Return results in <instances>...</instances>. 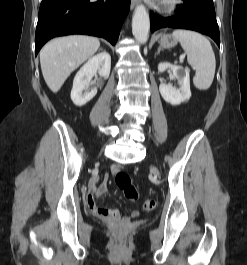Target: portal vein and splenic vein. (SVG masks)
<instances>
[{"label": "portal vein and splenic vein", "instance_id": "portal-vein-and-splenic-vein-1", "mask_svg": "<svg viewBox=\"0 0 247 265\" xmlns=\"http://www.w3.org/2000/svg\"><path fill=\"white\" fill-rule=\"evenodd\" d=\"M184 58H185V55H184V54H182V55L180 56V61H183V60H184Z\"/></svg>", "mask_w": 247, "mask_h": 265}]
</instances>
